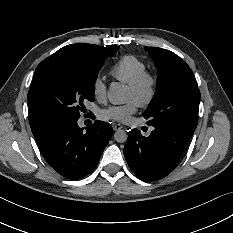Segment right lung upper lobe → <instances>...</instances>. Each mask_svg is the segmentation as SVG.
<instances>
[{
    "label": "right lung upper lobe",
    "mask_w": 233,
    "mask_h": 233,
    "mask_svg": "<svg viewBox=\"0 0 233 233\" xmlns=\"http://www.w3.org/2000/svg\"><path fill=\"white\" fill-rule=\"evenodd\" d=\"M117 49L118 47L116 45L101 47L98 45L78 43L62 47L55 54H71L89 62H104Z\"/></svg>",
    "instance_id": "cb5924a9"
}]
</instances>
